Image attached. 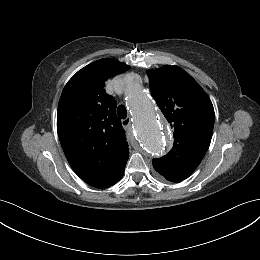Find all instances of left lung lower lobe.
<instances>
[{"mask_svg":"<svg viewBox=\"0 0 260 260\" xmlns=\"http://www.w3.org/2000/svg\"><path fill=\"white\" fill-rule=\"evenodd\" d=\"M166 180L170 181V182H181L182 180H179V179H172V178H166Z\"/></svg>","mask_w":260,"mask_h":260,"instance_id":"0a47b994","label":"left lung lower lobe"}]
</instances>
